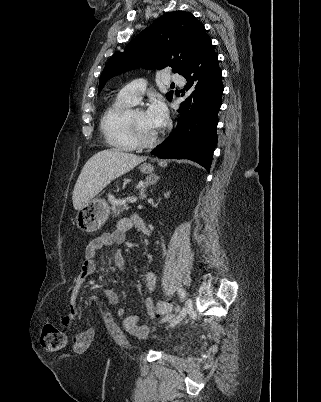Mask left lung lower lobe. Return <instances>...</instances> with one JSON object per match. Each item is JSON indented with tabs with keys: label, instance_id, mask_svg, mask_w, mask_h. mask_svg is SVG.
Masks as SVG:
<instances>
[{
	"label": "left lung lower lobe",
	"instance_id": "left-lung-lower-lobe-1",
	"mask_svg": "<svg viewBox=\"0 0 321 402\" xmlns=\"http://www.w3.org/2000/svg\"><path fill=\"white\" fill-rule=\"evenodd\" d=\"M181 75L187 80L184 89L192 90L181 103L183 120L152 154L159 158L189 159L209 171L217 144V114L223 93L222 71L211 39Z\"/></svg>",
	"mask_w": 321,
	"mask_h": 402
}]
</instances>
